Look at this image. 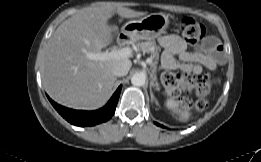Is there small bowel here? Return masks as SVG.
I'll list each match as a JSON object with an SVG mask.
<instances>
[{
	"label": "small bowel",
	"mask_w": 261,
	"mask_h": 162,
	"mask_svg": "<svg viewBox=\"0 0 261 162\" xmlns=\"http://www.w3.org/2000/svg\"><path fill=\"white\" fill-rule=\"evenodd\" d=\"M159 43L165 49L161 64L166 70H182L199 75L203 68L214 70L226 59L222 45L214 37L206 38L201 46L192 52L186 50L185 41L177 35L162 36Z\"/></svg>",
	"instance_id": "1"
}]
</instances>
